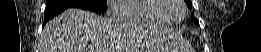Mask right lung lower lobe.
I'll list each match as a JSON object with an SVG mask.
<instances>
[{
	"label": "right lung lower lobe",
	"instance_id": "98d812e1",
	"mask_svg": "<svg viewBox=\"0 0 261 52\" xmlns=\"http://www.w3.org/2000/svg\"><path fill=\"white\" fill-rule=\"evenodd\" d=\"M75 7L76 6H69L65 4H47L44 11V24L54 16L61 13L63 10L67 8H75ZM76 8H80V7H76ZM82 9H86V8H82Z\"/></svg>",
	"mask_w": 261,
	"mask_h": 52
}]
</instances>
